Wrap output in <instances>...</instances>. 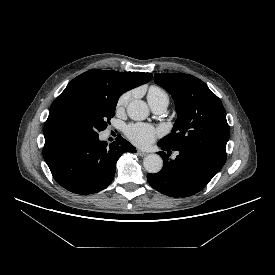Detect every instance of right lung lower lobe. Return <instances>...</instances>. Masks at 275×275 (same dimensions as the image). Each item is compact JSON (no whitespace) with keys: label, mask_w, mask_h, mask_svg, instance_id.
<instances>
[{"label":"right lung lower lobe","mask_w":275,"mask_h":275,"mask_svg":"<svg viewBox=\"0 0 275 275\" xmlns=\"http://www.w3.org/2000/svg\"><path fill=\"white\" fill-rule=\"evenodd\" d=\"M136 148L120 135L109 146L96 137L52 135L45 138L44 159L59 185L87 195L105 189L113 181L116 162Z\"/></svg>","instance_id":"right-lung-lower-lobe-1"}]
</instances>
